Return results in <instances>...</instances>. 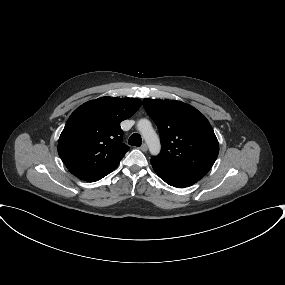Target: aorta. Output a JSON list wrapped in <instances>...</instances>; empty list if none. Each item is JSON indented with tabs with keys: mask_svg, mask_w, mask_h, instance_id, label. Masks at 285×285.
I'll use <instances>...</instances> for the list:
<instances>
[{
	"mask_svg": "<svg viewBox=\"0 0 285 285\" xmlns=\"http://www.w3.org/2000/svg\"><path fill=\"white\" fill-rule=\"evenodd\" d=\"M137 128L146 141L150 153L152 155H158L161 149L160 140L151 122L148 119H140L137 123Z\"/></svg>",
	"mask_w": 285,
	"mask_h": 285,
	"instance_id": "obj_1",
	"label": "aorta"
}]
</instances>
